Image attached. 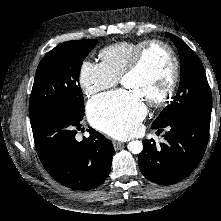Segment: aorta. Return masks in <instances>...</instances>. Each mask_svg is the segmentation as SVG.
Here are the masks:
<instances>
[{"label":"aorta","instance_id":"aorta-1","mask_svg":"<svg viewBox=\"0 0 221 221\" xmlns=\"http://www.w3.org/2000/svg\"><path fill=\"white\" fill-rule=\"evenodd\" d=\"M127 147H128V150L133 154H139L143 150V144L139 140H133L129 142Z\"/></svg>","mask_w":221,"mask_h":221}]
</instances>
